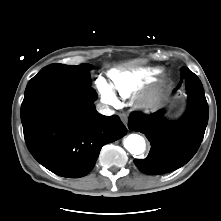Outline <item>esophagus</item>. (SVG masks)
<instances>
[{
	"label": "esophagus",
	"instance_id": "1",
	"mask_svg": "<svg viewBox=\"0 0 221 221\" xmlns=\"http://www.w3.org/2000/svg\"><path fill=\"white\" fill-rule=\"evenodd\" d=\"M120 118H121L122 122L127 125V122H128L127 116L125 114H121Z\"/></svg>",
	"mask_w": 221,
	"mask_h": 221
}]
</instances>
